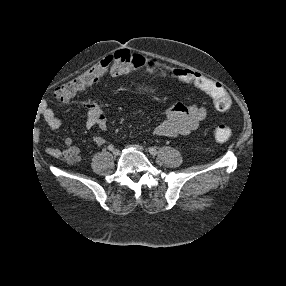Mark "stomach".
Listing matches in <instances>:
<instances>
[{
  "label": "stomach",
  "instance_id": "0dacf381",
  "mask_svg": "<svg viewBox=\"0 0 286 286\" xmlns=\"http://www.w3.org/2000/svg\"><path fill=\"white\" fill-rule=\"evenodd\" d=\"M127 93L134 100L146 99L151 104H160L167 97V88L160 81L149 82L144 77H134L127 84Z\"/></svg>",
  "mask_w": 286,
  "mask_h": 286
}]
</instances>
